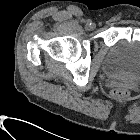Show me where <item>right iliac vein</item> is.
<instances>
[{
    "mask_svg": "<svg viewBox=\"0 0 140 140\" xmlns=\"http://www.w3.org/2000/svg\"><path fill=\"white\" fill-rule=\"evenodd\" d=\"M88 28L91 29V30H93L95 28V24H92L91 23V25H88Z\"/></svg>",
    "mask_w": 140,
    "mask_h": 140,
    "instance_id": "1",
    "label": "right iliac vein"
}]
</instances>
